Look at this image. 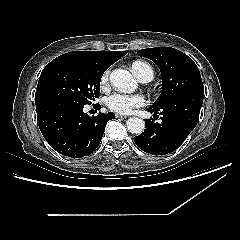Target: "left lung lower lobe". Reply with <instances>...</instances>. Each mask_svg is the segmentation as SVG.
<instances>
[{"mask_svg": "<svg viewBox=\"0 0 240 240\" xmlns=\"http://www.w3.org/2000/svg\"><path fill=\"white\" fill-rule=\"evenodd\" d=\"M204 91L188 92L159 108H148L161 115V122L145 120V131L134 137L135 144L146 153L165 155L178 148L198 122ZM157 116V115H156Z\"/></svg>", "mask_w": 240, "mask_h": 240, "instance_id": "left-lung-lower-lobe-1", "label": "left lung lower lobe"}]
</instances>
